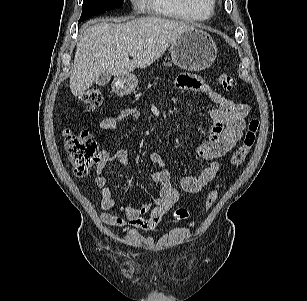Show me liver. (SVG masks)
Wrapping results in <instances>:
<instances>
[{
    "instance_id": "1",
    "label": "liver",
    "mask_w": 307,
    "mask_h": 301,
    "mask_svg": "<svg viewBox=\"0 0 307 301\" xmlns=\"http://www.w3.org/2000/svg\"><path fill=\"white\" fill-rule=\"evenodd\" d=\"M192 25L160 17H143L125 23L99 22L90 25L77 43L70 89L79 96L103 72L123 77L145 68ZM135 51L133 59L130 52Z\"/></svg>"
}]
</instances>
